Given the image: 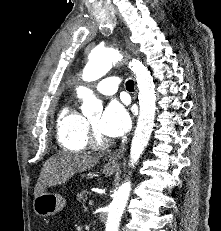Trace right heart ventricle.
Instances as JSON below:
<instances>
[{
	"instance_id": "right-heart-ventricle-1",
	"label": "right heart ventricle",
	"mask_w": 221,
	"mask_h": 231,
	"mask_svg": "<svg viewBox=\"0 0 221 231\" xmlns=\"http://www.w3.org/2000/svg\"><path fill=\"white\" fill-rule=\"evenodd\" d=\"M56 131L58 144L63 149L81 152L87 148V121L73 105H66L60 110Z\"/></svg>"
}]
</instances>
